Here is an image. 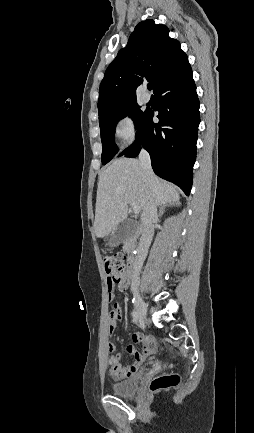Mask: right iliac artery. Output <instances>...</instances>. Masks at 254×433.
Masks as SVG:
<instances>
[{"label": "right iliac artery", "mask_w": 254, "mask_h": 433, "mask_svg": "<svg viewBox=\"0 0 254 433\" xmlns=\"http://www.w3.org/2000/svg\"><path fill=\"white\" fill-rule=\"evenodd\" d=\"M133 302H134V300H133ZM132 317H133V322L137 323L138 322V318H139L137 312L133 311L132 312Z\"/></svg>", "instance_id": "1"}]
</instances>
